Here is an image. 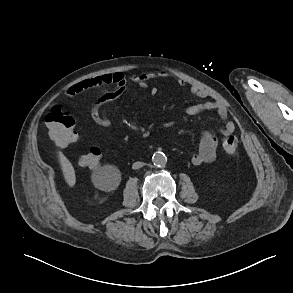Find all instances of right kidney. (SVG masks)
Here are the masks:
<instances>
[{
  "mask_svg": "<svg viewBox=\"0 0 293 293\" xmlns=\"http://www.w3.org/2000/svg\"><path fill=\"white\" fill-rule=\"evenodd\" d=\"M103 172L108 175L109 178L114 180L115 184L118 185L121 180V174L117 167L113 165H106L103 167Z\"/></svg>",
  "mask_w": 293,
  "mask_h": 293,
  "instance_id": "ca27d5eb",
  "label": "right kidney"
}]
</instances>
